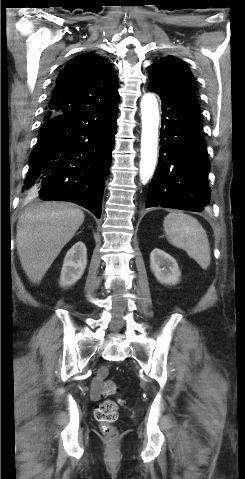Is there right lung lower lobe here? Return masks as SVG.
<instances>
[{
  "label": "right lung lower lobe",
  "instance_id": "1",
  "mask_svg": "<svg viewBox=\"0 0 245 479\" xmlns=\"http://www.w3.org/2000/svg\"><path fill=\"white\" fill-rule=\"evenodd\" d=\"M117 107H93L45 120L30 155L26 196L74 202L100 218Z\"/></svg>",
  "mask_w": 245,
  "mask_h": 479
}]
</instances>
